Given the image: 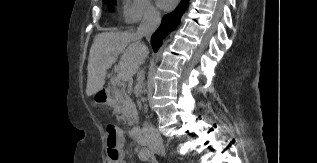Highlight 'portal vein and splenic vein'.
Wrapping results in <instances>:
<instances>
[{"instance_id":"obj_1","label":"portal vein and splenic vein","mask_w":317,"mask_h":163,"mask_svg":"<svg viewBox=\"0 0 317 163\" xmlns=\"http://www.w3.org/2000/svg\"><path fill=\"white\" fill-rule=\"evenodd\" d=\"M120 81H121V77H120L119 74L117 75V77H112V78H111V83H112L113 85L119 84Z\"/></svg>"}]
</instances>
